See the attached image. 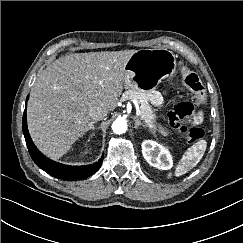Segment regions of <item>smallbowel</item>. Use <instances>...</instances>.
<instances>
[{
    "mask_svg": "<svg viewBox=\"0 0 243 243\" xmlns=\"http://www.w3.org/2000/svg\"><path fill=\"white\" fill-rule=\"evenodd\" d=\"M151 99H152V101L155 102V103H159V102H160V96H159L158 94H153V95L151 96ZM200 120H201V115L198 116L196 122H199Z\"/></svg>",
    "mask_w": 243,
    "mask_h": 243,
    "instance_id": "c3829d8e",
    "label": "small bowel"
}]
</instances>
